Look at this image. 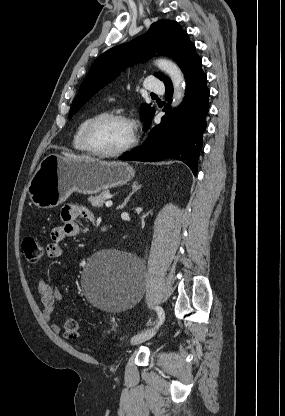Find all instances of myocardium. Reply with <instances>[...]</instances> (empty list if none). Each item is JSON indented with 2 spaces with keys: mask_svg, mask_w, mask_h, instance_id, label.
Here are the masks:
<instances>
[{
  "mask_svg": "<svg viewBox=\"0 0 285 416\" xmlns=\"http://www.w3.org/2000/svg\"><path fill=\"white\" fill-rule=\"evenodd\" d=\"M104 120H117V121L124 123L128 127L129 138L124 146H122L121 148L117 150L108 151V150H101L93 145L91 141V130L96 124ZM82 141L87 151L95 156L118 157V156L125 154L127 151H129L132 148L135 142V136H134L132 123L125 115L121 113H117V112H103V113H99L93 116L92 118L88 120V122L86 123L83 129Z\"/></svg>",
  "mask_w": 285,
  "mask_h": 416,
  "instance_id": "obj_1",
  "label": "myocardium"
}]
</instances>
